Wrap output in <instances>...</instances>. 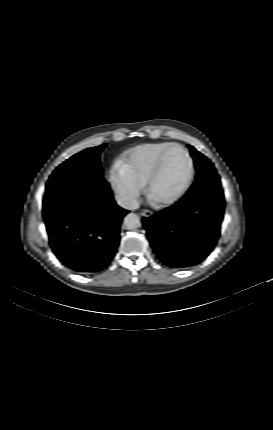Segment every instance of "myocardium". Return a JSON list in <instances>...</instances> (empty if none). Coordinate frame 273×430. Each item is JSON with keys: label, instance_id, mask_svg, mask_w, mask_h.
Masks as SVG:
<instances>
[{"label": "myocardium", "instance_id": "f54148a6", "mask_svg": "<svg viewBox=\"0 0 273 430\" xmlns=\"http://www.w3.org/2000/svg\"><path fill=\"white\" fill-rule=\"evenodd\" d=\"M173 149H179L181 150L187 161H188V171H187V175L185 177L184 182L182 183V185L180 186V188L170 197L165 198V199H155L152 196V187L156 181V179L158 178L160 172H161V168H162V164L163 161L165 159V156L167 155L168 152H170ZM194 177V162L193 159L191 157V155L189 154V152L187 151V149L185 147H183L180 144H171L168 147H166L158 156L153 169L151 170L147 180H146V192L149 196V198L155 202L156 204H159L161 206H168V205H172L174 203H176L178 200H180L182 198V196L186 193V191L188 190V188L191 185V182L193 180Z\"/></svg>", "mask_w": 273, "mask_h": 430}]
</instances>
